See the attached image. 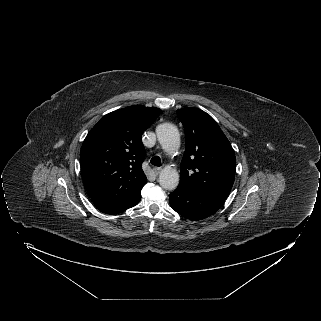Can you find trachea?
Wrapping results in <instances>:
<instances>
[{"label": "trachea", "mask_w": 321, "mask_h": 321, "mask_svg": "<svg viewBox=\"0 0 321 321\" xmlns=\"http://www.w3.org/2000/svg\"><path fill=\"white\" fill-rule=\"evenodd\" d=\"M151 164L154 165V166H157V167H160L161 166V159L159 156H154L151 158L150 160Z\"/></svg>", "instance_id": "1"}]
</instances>
